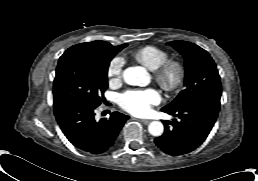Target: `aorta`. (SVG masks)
<instances>
[{
	"label": "aorta",
	"mask_w": 258,
	"mask_h": 181,
	"mask_svg": "<svg viewBox=\"0 0 258 181\" xmlns=\"http://www.w3.org/2000/svg\"><path fill=\"white\" fill-rule=\"evenodd\" d=\"M124 81L133 86H145L148 83V74L143 67H129L123 72ZM148 131L153 136H161L164 126L160 121H153L148 126Z\"/></svg>",
	"instance_id": "762f6f07"
}]
</instances>
